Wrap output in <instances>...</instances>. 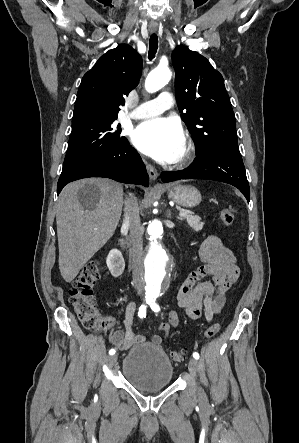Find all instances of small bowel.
<instances>
[{"mask_svg":"<svg viewBox=\"0 0 299 443\" xmlns=\"http://www.w3.org/2000/svg\"><path fill=\"white\" fill-rule=\"evenodd\" d=\"M201 265L184 280L178 293V306L192 319L204 316L210 322L213 316L222 312L227 291L237 283L241 268L237 257L216 235H209L199 250ZM136 304H127L124 316V330L115 331L111 343L119 350L126 351L132 345L142 344L145 337L133 331ZM179 325L176 311H172L167 322L158 325L164 336L154 335L151 344L160 347L170 331Z\"/></svg>","mask_w":299,"mask_h":443,"instance_id":"obj_1","label":"small bowel"}]
</instances>
